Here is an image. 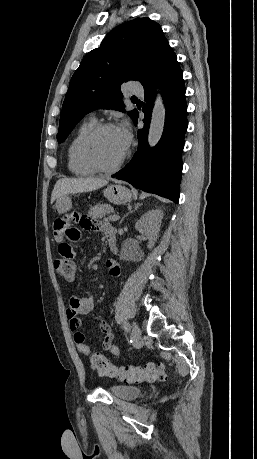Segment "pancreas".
I'll list each match as a JSON object with an SVG mask.
<instances>
[{
	"mask_svg": "<svg viewBox=\"0 0 257 459\" xmlns=\"http://www.w3.org/2000/svg\"><path fill=\"white\" fill-rule=\"evenodd\" d=\"M114 212V209L111 205L109 204H96L95 206L91 207L89 209V216L94 218V219H105L107 220L106 218V215L110 214ZM110 219V218H109Z\"/></svg>",
	"mask_w": 257,
	"mask_h": 459,
	"instance_id": "pancreas-1",
	"label": "pancreas"
}]
</instances>
